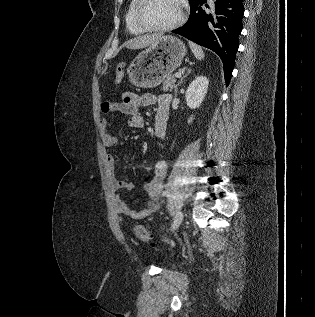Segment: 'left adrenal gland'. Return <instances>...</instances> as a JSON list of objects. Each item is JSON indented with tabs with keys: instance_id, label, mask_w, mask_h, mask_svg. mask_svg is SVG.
<instances>
[{
	"instance_id": "a2214340",
	"label": "left adrenal gland",
	"mask_w": 315,
	"mask_h": 317,
	"mask_svg": "<svg viewBox=\"0 0 315 317\" xmlns=\"http://www.w3.org/2000/svg\"><path fill=\"white\" fill-rule=\"evenodd\" d=\"M190 72H191V69H188L187 73L180 79V81L176 85V87H175V96L177 95V86L180 85L183 82L184 78H186L189 75Z\"/></svg>"
}]
</instances>
